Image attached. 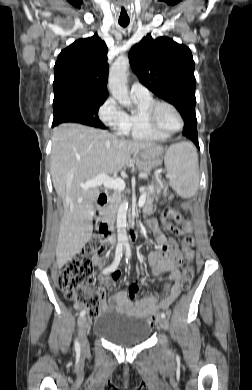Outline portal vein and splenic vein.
I'll list each match as a JSON object with an SVG mask.
<instances>
[{"instance_id":"obj_1","label":"portal vein and splenic vein","mask_w":252,"mask_h":390,"mask_svg":"<svg viewBox=\"0 0 252 390\" xmlns=\"http://www.w3.org/2000/svg\"><path fill=\"white\" fill-rule=\"evenodd\" d=\"M104 185L106 188H111L115 190H124L125 182L121 178H110L105 174H99L94 179L81 183L80 186L83 189L93 188ZM140 192L144 191V187L139 189ZM146 197L142 194L139 198V207H142L145 204Z\"/></svg>"}]
</instances>
